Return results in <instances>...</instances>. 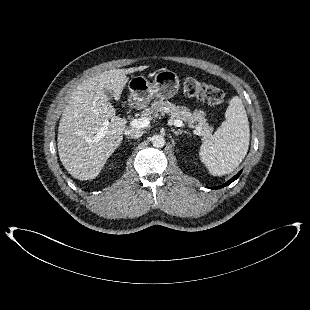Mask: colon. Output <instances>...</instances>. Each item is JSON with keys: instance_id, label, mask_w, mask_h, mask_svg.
Masks as SVG:
<instances>
[{"instance_id": "colon-1", "label": "colon", "mask_w": 310, "mask_h": 310, "mask_svg": "<svg viewBox=\"0 0 310 310\" xmlns=\"http://www.w3.org/2000/svg\"><path fill=\"white\" fill-rule=\"evenodd\" d=\"M184 93L210 105H224L228 102L225 93L218 87L187 78L183 84Z\"/></svg>"}]
</instances>
